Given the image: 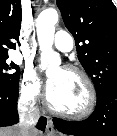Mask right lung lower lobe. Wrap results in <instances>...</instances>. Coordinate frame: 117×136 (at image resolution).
<instances>
[{
    "mask_svg": "<svg viewBox=\"0 0 117 136\" xmlns=\"http://www.w3.org/2000/svg\"><path fill=\"white\" fill-rule=\"evenodd\" d=\"M18 86L0 87V127L13 125L19 120L17 113ZM46 123V118L41 117L37 128L44 130Z\"/></svg>",
    "mask_w": 117,
    "mask_h": 136,
    "instance_id": "obj_1",
    "label": "right lung lower lobe"
}]
</instances>
